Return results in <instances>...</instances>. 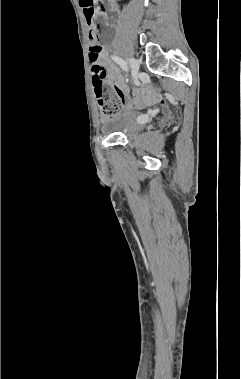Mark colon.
I'll use <instances>...</instances> for the list:
<instances>
[{"instance_id": "5ec220e1", "label": "colon", "mask_w": 241, "mask_h": 379, "mask_svg": "<svg viewBox=\"0 0 241 379\" xmlns=\"http://www.w3.org/2000/svg\"><path fill=\"white\" fill-rule=\"evenodd\" d=\"M97 1L102 3V0ZM80 5L83 8L88 23H92L96 15L95 0H80ZM89 40V57L93 63V67L92 70H88V77H91V82H93L98 106L103 116L108 118L121 111L123 102L119 96L112 93V91L105 86V68L97 63L101 47L96 41L95 27H92L89 31Z\"/></svg>"}]
</instances>
